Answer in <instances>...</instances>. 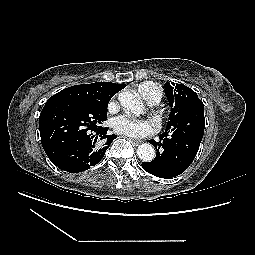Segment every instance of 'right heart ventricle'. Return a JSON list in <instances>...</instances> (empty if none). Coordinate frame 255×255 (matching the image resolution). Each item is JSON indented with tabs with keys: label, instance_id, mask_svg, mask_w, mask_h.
Returning <instances> with one entry per match:
<instances>
[{
	"label": "right heart ventricle",
	"instance_id": "1",
	"mask_svg": "<svg viewBox=\"0 0 255 255\" xmlns=\"http://www.w3.org/2000/svg\"><path fill=\"white\" fill-rule=\"evenodd\" d=\"M147 83L150 84V86L155 89L156 93L159 95L160 100H161L162 95H163L162 90L157 84L152 83V82H145V83L138 85V87L136 88L138 94L144 99V95H143L144 87H145V84H147Z\"/></svg>",
	"mask_w": 255,
	"mask_h": 255
}]
</instances>
